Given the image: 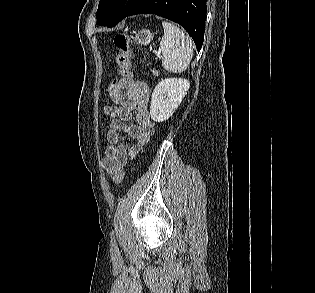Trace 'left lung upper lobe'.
<instances>
[{"instance_id":"1","label":"left lung upper lobe","mask_w":315,"mask_h":293,"mask_svg":"<svg viewBox=\"0 0 315 293\" xmlns=\"http://www.w3.org/2000/svg\"><path fill=\"white\" fill-rule=\"evenodd\" d=\"M141 0H100L97 20L100 25L113 27L137 6Z\"/></svg>"}]
</instances>
